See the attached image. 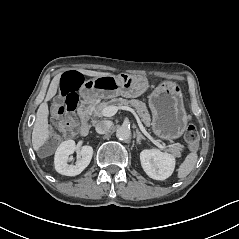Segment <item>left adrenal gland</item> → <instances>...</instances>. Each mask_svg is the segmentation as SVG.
I'll list each match as a JSON object with an SVG mask.
<instances>
[{"instance_id":"obj_1","label":"left adrenal gland","mask_w":239,"mask_h":239,"mask_svg":"<svg viewBox=\"0 0 239 239\" xmlns=\"http://www.w3.org/2000/svg\"><path fill=\"white\" fill-rule=\"evenodd\" d=\"M136 134H137V139H136V141H137L138 144L141 143V139H143V140L146 139V138L141 134V132H140L138 129H136Z\"/></svg>"}]
</instances>
